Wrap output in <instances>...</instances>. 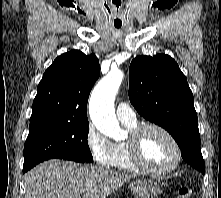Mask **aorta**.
I'll use <instances>...</instances> for the list:
<instances>
[{"label": "aorta", "mask_w": 221, "mask_h": 198, "mask_svg": "<svg viewBox=\"0 0 221 198\" xmlns=\"http://www.w3.org/2000/svg\"><path fill=\"white\" fill-rule=\"evenodd\" d=\"M122 80L121 71L111 70L95 86L89 101V114L93 124L102 134L115 140L125 136L114 110V99Z\"/></svg>", "instance_id": "762f6f07"}]
</instances>
